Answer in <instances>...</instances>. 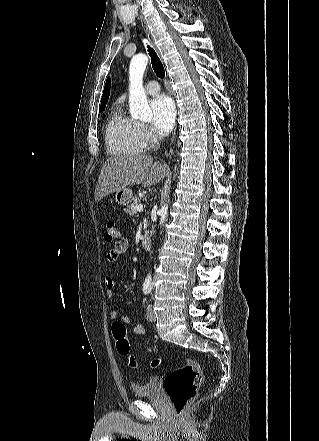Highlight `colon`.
<instances>
[{"label":"colon","instance_id":"5ec220e1","mask_svg":"<svg viewBox=\"0 0 319 441\" xmlns=\"http://www.w3.org/2000/svg\"><path fill=\"white\" fill-rule=\"evenodd\" d=\"M119 237V230L113 220H109L104 226V239L108 242ZM112 335L119 354L126 356L128 365L131 368L137 367V361L130 355V343L127 337L125 323L115 320L112 323ZM183 366L172 370L164 380V389L169 397L177 417H183L186 412V405L195 395L201 375L199 363L192 358H183ZM161 359L155 358L151 361V367L157 368Z\"/></svg>","mask_w":319,"mask_h":441}]
</instances>
